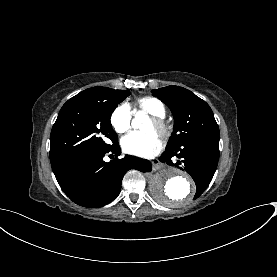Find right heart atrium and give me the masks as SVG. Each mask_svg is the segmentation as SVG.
<instances>
[{
  "label": "right heart atrium",
  "instance_id": "obj_1",
  "mask_svg": "<svg viewBox=\"0 0 277 277\" xmlns=\"http://www.w3.org/2000/svg\"><path fill=\"white\" fill-rule=\"evenodd\" d=\"M111 124L117 133L127 132L131 125V111L128 107H117L111 115Z\"/></svg>",
  "mask_w": 277,
  "mask_h": 277
}]
</instances>
